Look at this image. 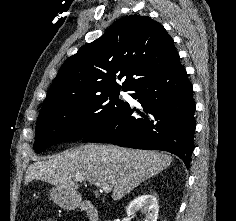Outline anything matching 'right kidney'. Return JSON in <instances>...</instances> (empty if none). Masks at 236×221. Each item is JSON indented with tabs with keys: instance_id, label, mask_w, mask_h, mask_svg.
Returning a JSON list of instances; mask_svg holds the SVG:
<instances>
[{
	"instance_id": "right-kidney-1",
	"label": "right kidney",
	"mask_w": 236,
	"mask_h": 221,
	"mask_svg": "<svg viewBox=\"0 0 236 221\" xmlns=\"http://www.w3.org/2000/svg\"><path fill=\"white\" fill-rule=\"evenodd\" d=\"M138 211L144 214L143 221H157L159 212L157 199L150 194L138 196L129 204L127 214L128 216H135Z\"/></svg>"
}]
</instances>
